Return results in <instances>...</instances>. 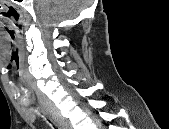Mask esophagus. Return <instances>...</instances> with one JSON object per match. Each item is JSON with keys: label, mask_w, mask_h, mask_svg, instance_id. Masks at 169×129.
I'll use <instances>...</instances> for the list:
<instances>
[{"label": "esophagus", "mask_w": 169, "mask_h": 129, "mask_svg": "<svg viewBox=\"0 0 169 129\" xmlns=\"http://www.w3.org/2000/svg\"><path fill=\"white\" fill-rule=\"evenodd\" d=\"M39 110H41V112L44 114V115H47V113L44 111V110H42L41 108H39ZM49 119H50V116H47ZM51 121H52V119H51Z\"/></svg>", "instance_id": "1"}]
</instances>
